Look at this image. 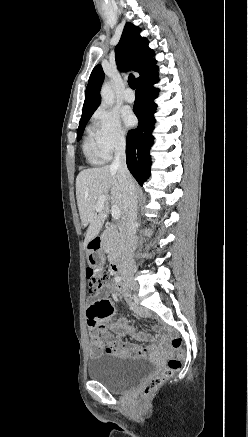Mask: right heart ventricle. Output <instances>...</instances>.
I'll list each match as a JSON object with an SVG mask.
<instances>
[{
    "label": "right heart ventricle",
    "mask_w": 248,
    "mask_h": 437,
    "mask_svg": "<svg viewBox=\"0 0 248 437\" xmlns=\"http://www.w3.org/2000/svg\"><path fill=\"white\" fill-rule=\"evenodd\" d=\"M83 149L90 162L97 164L104 160L92 139L90 131L88 137L84 141Z\"/></svg>",
    "instance_id": "right-heart-ventricle-1"
}]
</instances>
